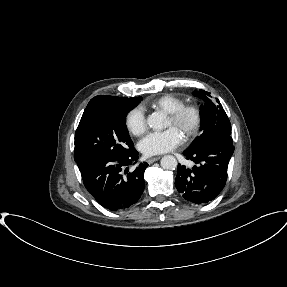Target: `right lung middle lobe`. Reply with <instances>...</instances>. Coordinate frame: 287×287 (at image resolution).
I'll return each mask as SVG.
<instances>
[{
	"label": "right lung middle lobe",
	"instance_id": "dd1d6c3e",
	"mask_svg": "<svg viewBox=\"0 0 287 287\" xmlns=\"http://www.w3.org/2000/svg\"><path fill=\"white\" fill-rule=\"evenodd\" d=\"M142 97L121 98L102 108L75 133L74 159L80 170L103 157L125 156L134 150L127 127V113Z\"/></svg>",
	"mask_w": 287,
	"mask_h": 287
}]
</instances>
